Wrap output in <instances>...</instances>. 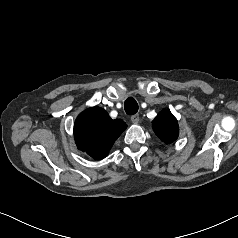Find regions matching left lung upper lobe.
<instances>
[{"label":"left lung upper lobe","mask_w":238,"mask_h":238,"mask_svg":"<svg viewBox=\"0 0 238 238\" xmlns=\"http://www.w3.org/2000/svg\"><path fill=\"white\" fill-rule=\"evenodd\" d=\"M152 127L165 144L172 143L179 135L177 120L169 110H162L153 120Z\"/></svg>","instance_id":"5c2ea615"}]
</instances>
